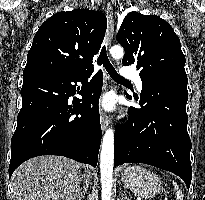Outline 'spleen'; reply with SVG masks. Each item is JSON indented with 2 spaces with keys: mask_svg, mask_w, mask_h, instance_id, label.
I'll use <instances>...</instances> for the list:
<instances>
[{
  "mask_svg": "<svg viewBox=\"0 0 205 200\" xmlns=\"http://www.w3.org/2000/svg\"><path fill=\"white\" fill-rule=\"evenodd\" d=\"M172 184L174 186V190L176 191V200H183V193L179 190L177 183L172 181Z\"/></svg>",
  "mask_w": 205,
  "mask_h": 200,
  "instance_id": "spleen-1",
  "label": "spleen"
}]
</instances>
